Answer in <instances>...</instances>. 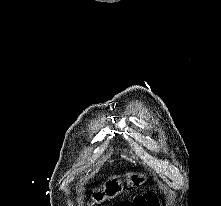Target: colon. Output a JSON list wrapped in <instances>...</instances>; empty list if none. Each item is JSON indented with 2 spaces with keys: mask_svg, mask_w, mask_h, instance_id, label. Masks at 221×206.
<instances>
[{
  "mask_svg": "<svg viewBox=\"0 0 221 206\" xmlns=\"http://www.w3.org/2000/svg\"><path fill=\"white\" fill-rule=\"evenodd\" d=\"M157 196L153 192H148L135 197L133 200L121 201L113 206H155Z\"/></svg>",
  "mask_w": 221,
  "mask_h": 206,
  "instance_id": "1",
  "label": "colon"
}]
</instances>
